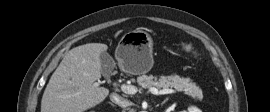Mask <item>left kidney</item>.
Instances as JSON below:
<instances>
[{
	"label": "left kidney",
	"instance_id": "left-kidney-1",
	"mask_svg": "<svg viewBox=\"0 0 270 112\" xmlns=\"http://www.w3.org/2000/svg\"><path fill=\"white\" fill-rule=\"evenodd\" d=\"M181 112H187V111H181ZM188 112H202L200 109L192 107L191 109H189Z\"/></svg>",
	"mask_w": 270,
	"mask_h": 112
}]
</instances>
